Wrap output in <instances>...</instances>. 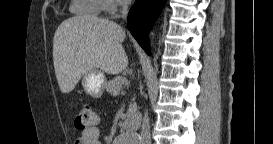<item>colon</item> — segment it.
<instances>
[{"label":"colon","mask_w":273,"mask_h":144,"mask_svg":"<svg viewBox=\"0 0 273 144\" xmlns=\"http://www.w3.org/2000/svg\"><path fill=\"white\" fill-rule=\"evenodd\" d=\"M99 123V115L93 105L85 103L75 119V125L78 130H87L96 127Z\"/></svg>","instance_id":"1"}]
</instances>
